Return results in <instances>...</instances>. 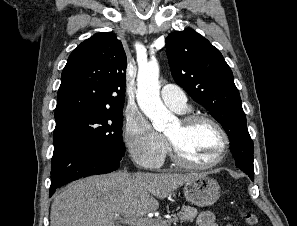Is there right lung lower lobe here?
Masks as SVG:
<instances>
[{
    "label": "right lung lower lobe",
    "mask_w": 297,
    "mask_h": 226,
    "mask_svg": "<svg viewBox=\"0 0 297 226\" xmlns=\"http://www.w3.org/2000/svg\"><path fill=\"white\" fill-rule=\"evenodd\" d=\"M123 156V151L89 141L65 139L55 142L49 196L56 188L81 177L118 169Z\"/></svg>",
    "instance_id": "right-lung-lower-lobe-1"
}]
</instances>
